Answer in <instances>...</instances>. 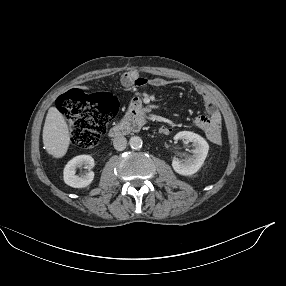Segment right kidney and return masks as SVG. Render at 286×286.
<instances>
[{
	"label": "right kidney",
	"instance_id": "ca27d5eb",
	"mask_svg": "<svg viewBox=\"0 0 286 286\" xmlns=\"http://www.w3.org/2000/svg\"><path fill=\"white\" fill-rule=\"evenodd\" d=\"M94 165V159L90 155H79L74 157L64 168V182L74 188L87 187L94 179V173L91 171ZM81 166H85V168L88 169V172L79 177L75 175V169Z\"/></svg>",
	"mask_w": 286,
	"mask_h": 286
}]
</instances>
